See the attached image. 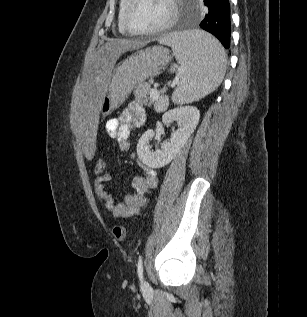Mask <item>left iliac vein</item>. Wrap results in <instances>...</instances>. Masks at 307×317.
Returning a JSON list of instances; mask_svg holds the SVG:
<instances>
[{
	"instance_id": "obj_1",
	"label": "left iliac vein",
	"mask_w": 307,
	"mask_h": 317,
	"mask_svg": "<svg viewBox=\"0 0 307 317\" xmlns=\"http://www.w3.org/2000/svg\"><path fill=\"white\" fill-rule=\"evenodd\" d=\"M142 287L144 289H148L149 288V284L146 281H144V282H142Z\"/></svg>"
}]
</instances>
